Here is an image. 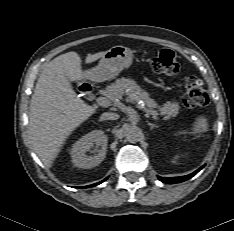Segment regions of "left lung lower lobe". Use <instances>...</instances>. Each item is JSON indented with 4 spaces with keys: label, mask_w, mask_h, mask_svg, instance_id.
Returning a JSON list of instances; mask_svg holds the SVG:
<instances>
[{
    "label": "left lung lower lobe",
    "mask_w": 234,
    "mask_h": 231,
    "mask_svg": "<svg viewBox=\"0 0 234 231\" xmlns=\"http://www.w3.org/2000/svg\"><path fill=\"white\" fill-rule=\"evenodd\" d=\"M204 166H202L201 168H199L198 170H196L195 172H193L192 174L186 175V176H182V177H169V178H165V177H158L160 181L164 182V183H168V184H173V183H179V182H183L186 181L188 179H190L191 177H193L196 173H198Z\"/></svg>",
    "instance_id": "left-lung-lower-lobe-1"
}]
</instances>
